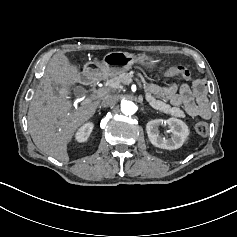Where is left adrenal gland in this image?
<instances>
[{"mask_svg":"<svg viewBox=\"0 0 237 237\" xmlns=\"http://www.w3.org/2000/svg\"><path fill=\"white\" fill-rule=\"evenodd\" d=\"M146 110H147V111H150V109H149V108H146Z\"/></svg>","mask_w":237,"mask_h":237,"instance_id":"a2214340","label":"left adrenal gland"}]
</instances>
